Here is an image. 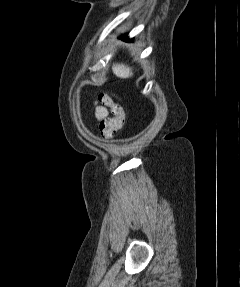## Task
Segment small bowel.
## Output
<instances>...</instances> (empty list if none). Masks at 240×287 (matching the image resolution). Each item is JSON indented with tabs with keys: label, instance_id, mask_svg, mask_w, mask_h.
Listing matches in <instances>:
<instances>
[{
	"label": "small bowel",
	"instance_id": "c3829d8e",
	"mask_svg": "<svg viewBox=\"0 0 240 287\" xmlns=\"http://www.w3.org/2000/svg\"><path fill=\"white\" fill-rule=\"evenodd\" d=\"M94 115H95V118H96L100 123H101L102 121H104L105 119H107L108 110H107L106 106H104V105H102V104L95 103Z\"/></svg>",
	"mask_w": 240,
	"mask_h": 287
}]
</instances>
